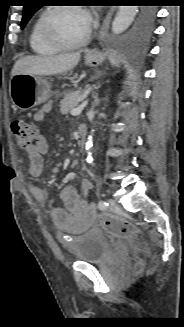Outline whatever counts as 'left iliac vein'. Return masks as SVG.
I'll use <instances>...</instances> for the list:
<instances>
[{"label":"left iliac vein","mask_w":184,"mask_h":327,"mask_svg":"<svg viewBox=\"0 0 184 327\" xmlns=\"http://www.w3.org/2000/svg\"><path fill=\"white\" fill-rule=\"evenodd\" d=\"M108 203H109V209L111 211H114V212L119 211L120 207L114 199H109Z\"/></svg>","instance_id":"1"}]
</instances>
